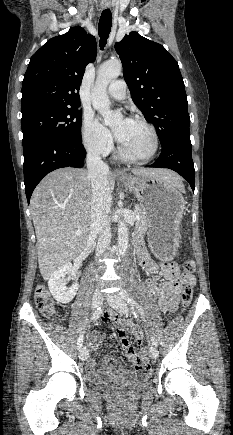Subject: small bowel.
<instances>
[{
	"mask_svg": "<svg viewBox=\"0 0 233 435\" xmlns=\"http://www.w3.org/2000/svg\"><path fill=\"white\" fill-rule=\"evenodd\" d=\"M137 256L140 265L148 275L147 287L149 292L157 299L158 308L162 313H170L176 311L180 302L181 281L185 279L180 271L177 263H161L153 260L141 242L136 243ZM163 278L162 283L159 279ZM105 321L112 322V328L123 346V351L132 364H136L138 355L133 351L126 335L131 333L135 337V342L138 346H142L144 335L142 329L136 325L131 319L122 318L115 311H106L104 314ZM107 340L106 334L94 335V341L89 344L92 351L97 350L100 345ZM88 375L94 381H100L102 375L111 374L119 377H127L134 379L143 377L148 374L145 371L136 370L133 372L125 368L122 364L117 365L116 360L112 355H106L102 359V369L98 370L94 357L89 358L87 362Z\"/></svg>",
	"mask_w": 233,
	"mask_h": 435,
	"instance_id": "c3829d8e",
	"label": "small bowel"
}]
</instances>
